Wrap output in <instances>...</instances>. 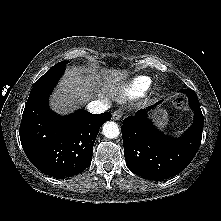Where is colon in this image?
Returning <instances> with one entry per match:
<instances>
[{
	"mask_svg": "<svg viewBox=\"0 0 221 221\" xmlns=\"http://www.w3.org/2000/svg\"><path fill=\"white\" fill-rule=\"evenodd\" d=\"M175 104L178 106V107H183L184 106V98L181 97V96H177L175 97Z\"/></svg>",
	"mask_w": 221,
	"mask_h": 221,
	"instance_id": "colon-1",
	"label": "colon"
}]
</instances>
